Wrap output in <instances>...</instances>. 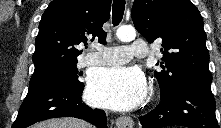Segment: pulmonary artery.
Instances as JSON below:
<instances>
[{"instance_id": "pulmonary-artery-1", "label": "pulmonary artery", "mask_w": 221, "mask_h": 128, "mask_svg": "<svg viewBox=\"0 0 221 128\" xmlns=\"http://www.w3.org/2000/svg\"><path fill=\"white\" fill-rule=\"evenodd\" d=\"M95 52H89L82 61L83 66H105L125 63L132 58L146 57L149 46L145 40L130 42L128 45L106 47L96 45Z\"/></svg>"}]
</instances>
